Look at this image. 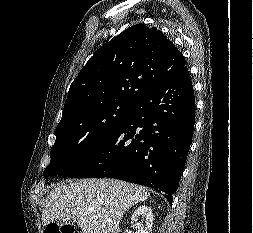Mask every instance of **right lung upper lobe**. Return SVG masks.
<instances>
[{
  "mask_svg": "<svg viewBox=\"0 0 253 233\" xmlns=\"http://www.w3.org/2000/svg\"><path fill=\"white\" fill-rule=\"evenodd\" d=\"M185 64L182 53L160 30L134 25L88 60L70 86L62 117L105 100L135 101Z\"/></svg>",
  "mask_w": 253,
  "mask_h": 233,
  "instance_id": "obj_1",
  "label": "right lung upper lobe"
}]
</instances>
